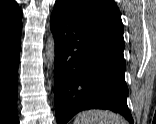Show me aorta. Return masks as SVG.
Masks as SVG:
<instances>
[{
  "mask_svg": "<svg viewBox=\"0 0 156 124\" xmlns=\"http://www.w3.org/2000/svg\"><path fill=\"white\" fill-rule=\"evenodd\" d=\"M46 60L48 66L52 68L55 62V40L53 34L50 32L46 42Z\"/></svg>",
  "mask_w": 156,
  "mask_h": 124,
  "instance_id": "1",
  "label": "aorta"
}]
</instances>
